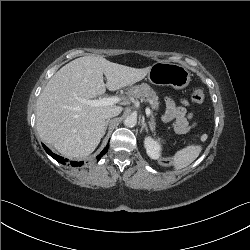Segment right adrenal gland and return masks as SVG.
I'll use <instances>...</instances> for the list:
<instances>
[{
	"instance_id": "obj_1",
	"label": "right adrenal gland",
	"mask_w": 250,
	"mask_h": 250,
	"mask_svg": "<svg viewBox=\"0 0 250 250\" xmlns=\"http://www.w3.org/2000/svg\"><path fill=\"white\" fill-rule=\"evenodd\" d=\"M109 122H110V119H107L106 122H105L104 134L106 133Z\"/></svg>"
}]
</instances>
